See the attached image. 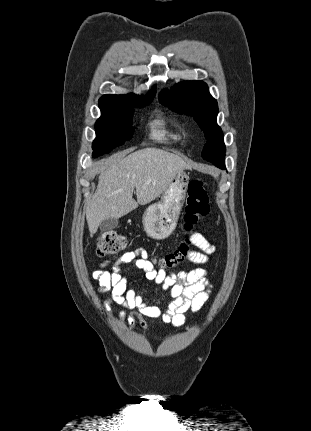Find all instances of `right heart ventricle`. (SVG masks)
<instances>
[{"label":"right heart ventricle","mask_w":311,"mask_h":431,"mask_svg":"<svg viewBox=\"0 0 311 431\" xmlns=\"http://www.w3.org/2000/svg\"><path fill=\"white\" fill-rule=\"evenodd\" d=\"M182 136V130L177 126L169 125L162 113H158L150 123L149 138L156 143L174 145L182 139Z\"/></svg>","instance_id":"obj_1"}]
</instances>
